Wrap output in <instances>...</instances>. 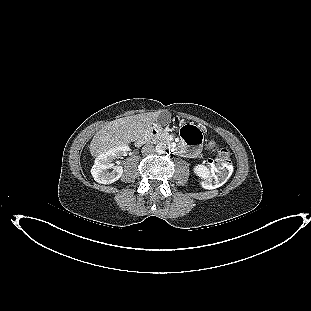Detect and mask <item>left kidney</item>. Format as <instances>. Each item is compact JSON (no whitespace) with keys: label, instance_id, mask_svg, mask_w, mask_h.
<instances>
[{"label":"left kidney","instance_id":"1","mask_svg":"<svg viewBox=\"0 0 311 311\" xmlns=\"http://www.w3.org/2000/svg\"><path fill=\"white\" fill-rule=\"evenodd\" d=\"M193 170L194 173L202 179H206L210 175L209 168L202 164L196 165Z\"/></svg>","mask_w":311,"mask_h":311}]
</instances>
